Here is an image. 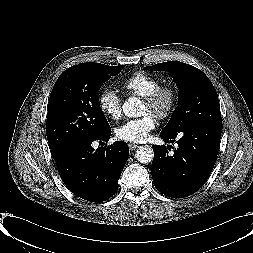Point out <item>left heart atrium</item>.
Here are the masks:
<instances>
[{
	"mask_svg": "<svg viewBox=\"0 0 253 253\" xmlns=\"http://www.w3.org/2000/svg\"><path fill=\"white\" fill-rule=\"evenodd\" d=\"M156 128V120L151 114H145L138 119H130L116 129V136L132 143L144 142L150 132Z\"/></svg>",
	"mask_w": 253,
	"mask_h": 253,
	"instance_id": "obj_1",
	"label": "left heart atrium"
}]
</instances>
